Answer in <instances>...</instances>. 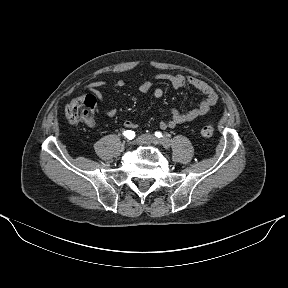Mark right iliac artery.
Instances as JSON below:
<instances>
[{"mask_svg":"<svg viewBox=\"0 0 288 288\" xmlns=\"http://www.w3.org/2000/svg\"><path fill=\"white\" fill-rule=\"evenodd\" d=\"M131 134H135V132H134V131H131V130H127V131H124V132H123V135H124L126 138H128V136L131 135Z\"/></svg>","mask_w":288,"mask_h":288,"instance_id":"82829eb1","label":"right iliac artery"}]
</instances>
